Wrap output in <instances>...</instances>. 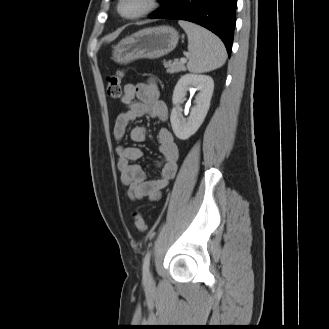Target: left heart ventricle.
I'll return each instance as SVG.
<instances>
[{
    "instance_id": "left-heart-ventricle-1",
    "label": "left heart ventricle",
    "mask_w": 329,
    "mask_h": 329,
    "mask_svg": "<svg viewBox=\"0 0 329 329\" xmlns=\"http://www.w3.org/2000/svg\"><path fill=\"white\" fill-rule=\"evenodd\" d=\"M144 5L143 0H126L122 5V12L132 14L139 11Z\"/></svg>"
}]
</instances>
